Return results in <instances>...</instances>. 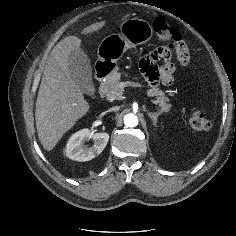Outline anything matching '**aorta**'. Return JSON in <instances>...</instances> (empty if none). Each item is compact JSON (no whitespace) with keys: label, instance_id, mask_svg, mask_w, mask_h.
Listing matches in <instances>:
<instances>
[{"label":"aorta","instance_id":"762f6f07","mask_svg":"<svg viewBox=\"0 0 236 236\" xmlns=\"http://www.w3.org/2000/svg\"><path fill=\"white\" fill-rule=\"evenodd\" d=\"M124 124L126 127H136L138 125V117L133 113L124 116Z\"/></svg>","mask_w":236,"mask_h":236}]
</instances>
